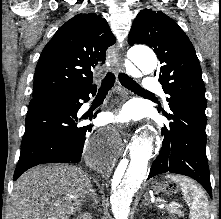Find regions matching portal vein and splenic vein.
Masks as SVG:
<instances>
[{
    "label": "portal vein and splenic vein",
    "instance_id": "obj_1",
    "mask_svg": "<svg viewBox=\"0 0 221 219\" xmlns=\"http://www.w3.org/2000/svg\"><path fill=\"white\" fill-rule=\"evenodd\" d=\"M170 206L177 208V207H179L180 205H179L178 203H176V202H172V203L170 204ZM161 207H164V204H162Z\"/></svg>",
    "mask_w": 221,
    "mask_h": 219
}]
</instances>
